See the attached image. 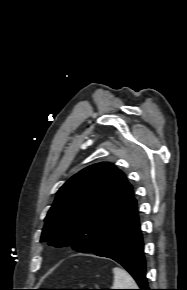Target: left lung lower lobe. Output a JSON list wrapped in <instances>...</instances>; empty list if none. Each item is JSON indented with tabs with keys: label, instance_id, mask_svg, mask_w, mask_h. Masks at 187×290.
<instances>
[{
	"label": "left lung lower lobe",
	"instance_id": "obj_1",
	"mask_svg": "<svg viewBox=\"0 0 187 290\" xmlns=\"http://www.w3.org/2000/svg\"><path fill=\"white\" fill-rule=\"evenodd\" d=\"M143 249L135 200L126 215L91 253L115 260L133 276L140 290H151L146 278Z\"/></svg>",
	"mask_w": 187,
	"mask_h": 290
}]
</instances>
